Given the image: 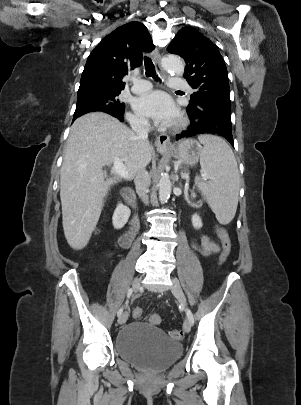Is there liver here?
Wrapping results in <instances>:
<instances>
[{
	"label": "liver",
	"instance_id": "1",
	"mask_svg": "<svg viewBox=\"0 0 301 405\" xmlns=\"http://www.w3.org/2000/svg\"><path fill=\"white\" fill-rule=\"evenodd\" d=\"M153 147L116 118L102 112L75 120L64 151L60 175L62 224L68 244L84 248L104 206V197L120 177L105 179L102 168L118 157L127 179L151 161Z\"/></svg>",
	"mask_w": 301,
	"mask_h": 405
}]
</instances>
